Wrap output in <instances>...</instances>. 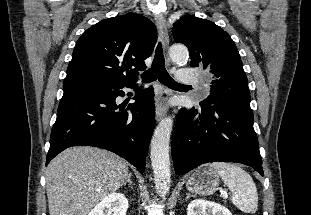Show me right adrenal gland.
Segmentation results:
<instances>
[{"label": "right adrenal gland", "mask_w": 311, "mask_h": 215, "mask_svg": "<svg viewBox=\"0 0 311 215\" xmlns=\"http://www.w3.org/2000/svg\"><path fill=\"white\" fill-rule=\"evenodd\" d=\"M127 183L133 188V182L131 180V174L128 175L127 180L124 182V186H126Z\"/></svg>", "instance_id": "right-adrenal-gland-1"}]
</instances>
